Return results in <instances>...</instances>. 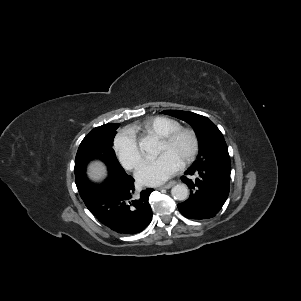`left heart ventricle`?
I'll use <instances>...</instances> for the list:
<instances>
[{
	"mask_svg": "<svg viewBox=\"0 0 301 301\" xmlns=\"http://www.w3.org/2000/svg\"><path fill=\"white\" fill-rule=\"evenodd\" d=\"M191 150V140L188 136L181 137L176 143L173 145H168L164 142H160L158 153H169L174 156L177 160L182 162L184 157Z\"/></svg>",
	"mask_w": 301,
	"mask_h": 301,
	"instance_id": "obj_1",
	"label": "left heart ventricle"
}]
</instances>
